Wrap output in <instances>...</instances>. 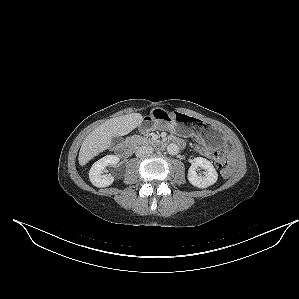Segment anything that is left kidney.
<instances>
[{
    "label": "left kidney",
    "mask_w": 299,
    "mask_h": 299,
    "mask_svg": "<svg viewBox=\"0 0 299 299\" xmlns=\"http://www.w3.org/2000/svg\"><path fill=\"white\" fill-rule=\"evenodd\" d=\"M198 167H202L205 170L203 176L197 174L196 170ZM187 177L193 186L207 188L216 183L218 174L209 160L202 157H196L192 160Z\"/></svg>",
    "instance_id": "5707ae66"
}]
</instances>
